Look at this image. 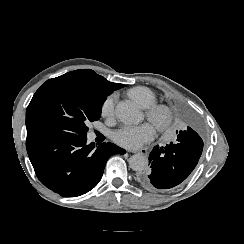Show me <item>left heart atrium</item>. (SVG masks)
<instances>
[{
    "mask_svg": "<svg viewBox=\"0 0 244 244\" xmlns=\"http://www.w3.org/2000/svg\"><path fill=\"white\" fill-rule=\"evenodd\" d=\"M156 137L155 128L145 123L135 127H124L113 134V140L126 148L138 149L144 144L152 142Z\"/></svg>",
    "mask_w": 244,
    "mask_h": 244,
    "instance_id": "obj_1",
    "label": "left heart atrium"
}]
</instances>
